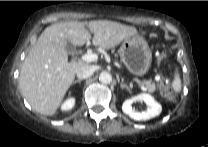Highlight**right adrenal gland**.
<instances>
[{"mask_svg":"<svg viewBox=\"0 0 208 147\" xmlns=\"http://www.w3.org/2000/svg\"><path fill=\"white\" fill-rule=\"evenodd\" d=\"M81 81H82L81 79H77V80H75L74 83H80Z\"/></svg>","mask_w":208,"mask_h":147,"instance_id":"1","label":"right adrenal gland"}]
</instances>
